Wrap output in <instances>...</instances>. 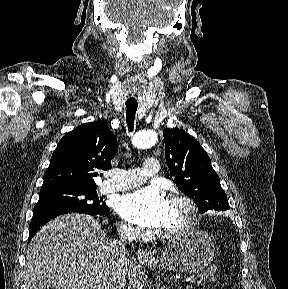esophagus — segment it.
Listing matches in <instances>:
<instances>
[{
    "label": "esophagus",
    "instance_id": "esophagus-1",
    "mask_svg": "<svg viewBox=\"0 0 288 289\" xmlns=\"http://www.w3.org/2000/svg\"><path fill=\"white\" fill-rule=\"evenodd\" d=\"M137 257L141 261H148L153 258V255L146 249H139L137 251Z\"/></svg>",
    "mask_w": 288,
    "mask_h": 289
}]
</instances>
